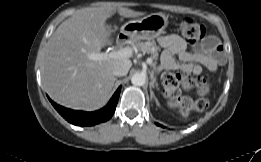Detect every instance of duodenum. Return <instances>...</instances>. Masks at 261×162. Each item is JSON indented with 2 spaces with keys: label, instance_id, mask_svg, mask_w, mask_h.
Returning <instances> with one entry per match:
<instances>
[{
  "label": "duodenum",
  "instance_id": "obj_1",
  "mask_svg": "<svg viewBox=\"0 0 261 162\" xmlns=\"http://www.w3.org/2000/svg\"><path fill=\"white\" fill-rule=\"evenodd\" d=\"M128 41V36L125 34H121L119 35V37L117 38V43L118 45L122 46L125 45Z\"/></svg>",
  "mask_w": 261,
  "mask_h": 162
}]
</instances>
